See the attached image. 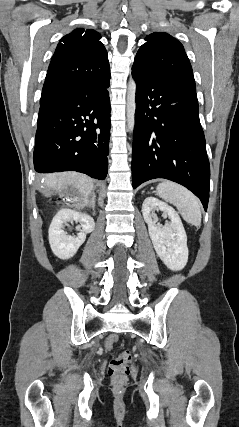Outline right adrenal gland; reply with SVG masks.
I'll list each match as a JSON object with an SVG mask.
<instances>
[{
	"label": "right adrenal gland",
	"mask_w": 239,
	"mask_h": 427,
	"mask_svg": "<svg viewBox=\"0 0 239 427\" xmlns=\"http://www.w3.org/2000/svg\"><path fill=\"white\" fill-rule=\"evenodd\" d=\"M95 197H96V196H95V194L93 193V203H92L93 205L95 204V202H94ZM89 206H90V205H89Z\"/></svg>",
	"instance_id": "2a0ac1e0"
}]
</instances>
